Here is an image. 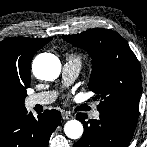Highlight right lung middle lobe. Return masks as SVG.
<instances>
[{"instance_id":"dd1d6c3e","label":"right lung middle lobe","mask_w":147,"mask_h":147,"mask_svg":"<svg viewBox=\"0 0 147 147\" xmlns=\"http://www.w3.org/2000/svg\"><path fill=\"white\" fill-rule=\"evenodd\" d=\"M29 85L0 74V114L9 116L25 108L26 89Z\"/></svg>"}]
</instances>
